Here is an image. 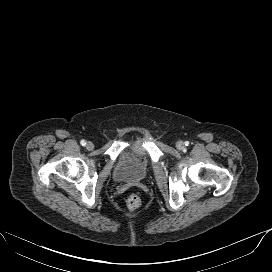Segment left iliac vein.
I'll return each mask as SVG.
<instances>
[{"mask_svg":"<svg viewBox=\"0 0 272 272\" xmlns=\"http://www.w3.org/2000/svg\"><path fill=\"white\" fill-rule=\"evenodd\" d=\"M176 147H177V149L181 150V149L184 148V143H183L182 141H178V142L176 143Z\"/></svg>","mask_w":272,"mask_h":272,"instance_id":"4c4485c4","label":"left iliac vein"}]
</instances>
